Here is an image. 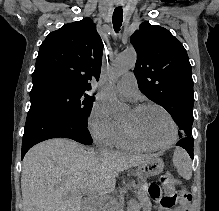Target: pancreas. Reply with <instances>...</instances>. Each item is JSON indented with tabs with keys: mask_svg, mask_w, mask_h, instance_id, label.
Wrapping results in <instances>:
<instances>
[{
	"mask_svg": "<svg viewBox=\"0 0 219 211\" xmlns=\"http://www.w3.org/2000/svg\"><path fill=\"white\" fill-rule=\"evenodd\" d=\"M127 204H129L130 207H128V211H137L142 207V202H136V199H127Z\"/></svg>",
	"mask_w": 219,
	"mask_h": 211,
	"instance_id": "cf45deb5",
	"label": "pancreas"
}]
</instances>
